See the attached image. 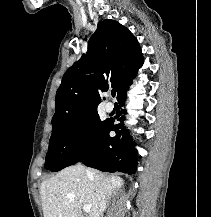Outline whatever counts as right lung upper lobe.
Here are the masks:
<instances>
[{
  "mask_svg": "<svg viewBox=\"0 0 211 217\" xmlns=\"http://www.w3.org/2000/svg\"><path fill=\"white\" fill-rule=\"evenodd\" d=\"M142 65L141 48L129 29L114 20L100 21L89 40L87 54L62 78L52 128L97 111L99 92L106 91L108 84L119 97Z\"/></svg>",
  "mask_w": 211,
  "mask_h": 217,
  "instance_id": "obj_1",
  "label": "right lung upper lobe"
}]
</instances>
